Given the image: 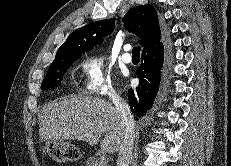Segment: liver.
<instances>
[{
    "instance_id": "1",
    "label": "liver",
    "mask_w": 231,
    "mask_h": 166,
    "mask_svg": "<svg viewBox=\"0 0 231 166\" xmlns=\"http://www.w3.org/2000/svg\"><path fill=\"white\" fill-rule=\"evenodd\" d=\"M38 120L41 142L77 139L92 146L100 142L101 150L109 154L118 152L122 145L123 121L104 99L74 96L54 101L41 109Z\"/></svg>"
}]
</instances>
